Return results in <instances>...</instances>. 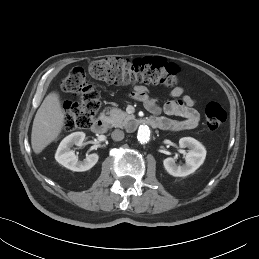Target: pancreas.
Wrapping results in <instances>:
<instances>
[{
    "mask_svg": "<svg viewBox=\"0 0 259 259\" xmlns=\"http://www.w3.org/2000/svg\"><path fill=\"white\" fill-rule=\"evenodd\" d=\"M107 114L109 115L106 117L107 123L116 128H126L130 120L134 119L133 115H128L119 108H112Z\"/></svg>",
    "mask_w": 259,
    "mask_h": 259,
    "instance_id": "cf45deb5",
    "label": "pancreas"
}]
</instances>
